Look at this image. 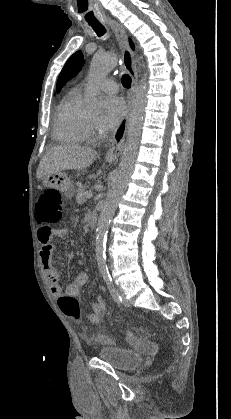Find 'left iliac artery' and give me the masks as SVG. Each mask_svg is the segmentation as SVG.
Here are the masks:
<instances>
[{"label":"left iliac artery","instance_id":"44dca946","mask_svg":"<svg viewBox=\"0 0 231 419\" xmlns=\"http://www.w3.org/2000/svg\"><path fill=\"white\" fill-rule=\"evenodd\" d=\"M100 271L101 274L106 282V285L108 287V290L114 299L115 302L120 303L122 301L121 296L119 295L117 289L114 287V284L112 282V278L109 274L108 267L105 264L100 265Z\"/></svg>","mask_w":231,"mask_h":419}]
</instances>
